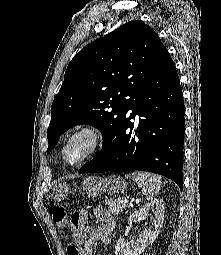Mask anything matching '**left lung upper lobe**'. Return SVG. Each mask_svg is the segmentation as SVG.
<instances>
[{"instance_id": "5c2ea615", "label": "left lung upper lobe", "mask_w": 221, "mask_h": 255, "mask_svg": "<svg viewBox=\"0 0 221 255\" xmlns=\"http://www.w3.org/2000/svg\"><path fill=\"white\" fill-rule=\"evenodd\" d=\"M166 52L142 21L128 22L86 45L70 61L52 103L47 152L77 124L99 129L104 146Z\"/></svg>"}]
</instances>
